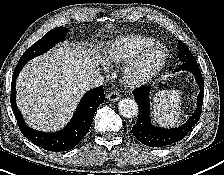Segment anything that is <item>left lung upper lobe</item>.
Listing matches in <instances>:
<instances>
[{
	"instance_id": "1",
	"label": "left lung upper lobe",
	"mask_w": 224,
	"mask_h": 175,
	"mask_svg": "<svg viewBox=\"0 0 224 175\" xmlns=\"http://www.w3.org/2000/svg\"><path fill=\"white\" fill-rule=\"evenodd\" d=\"M178 47V58L182 63H196L194 56L182 41L178 42Z\"/></svg>"
}]
</instances>
